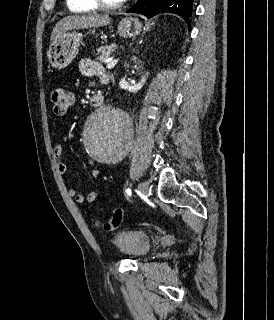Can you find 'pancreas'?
I'll use <instances>...</instances> for the list:
<instances>
[{
  "instance_id": "pancreas-1",
  "label": "pancreas",
  "mask_w": 274,
  "mask_h": 320,
  "mask_svg": "<svg viewBox=\"0 0 274 320\" xmlns=\"http://www.w3.org/2000/svg\"><path fill=\"white\" fill-rule=\"evenodd\" d=\"M116 48L117 46H115V44H112V46H101V48H98L97 50L96 60H99V62H106V60L110 58L111 52H114Z\"/></svg>"
}]
</instances>
